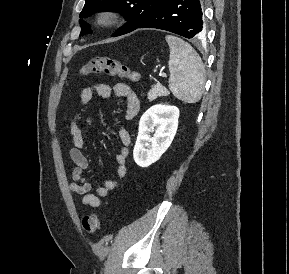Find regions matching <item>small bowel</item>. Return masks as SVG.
Instances as JSON below:
<instances>
[{
    "label": "small bowel",
    "instance_id": "1",
    "mask_svg": "<svg viewBox=\"0 0 289 274\" xmlns=\"http://www.w3.org/2000/svg\"><path fill=\"white\" fill-rule=\"evenodd\" d=\"M95 94L107 100H111L114 95L122 98L125 103L126 120L133 119L139 112L140 100L136 92L126 83H116L113 86L96 83L86 86L80 93V104L83 109L89 105ZM92 121V118H84L80 112L74 115L71 122L70 135L72 146L69 148L68 154L75 167L72 172L73 181L70 184V191L73 194L82 196L81 204L83 206L99 208L102 205V198L107 197L112 191L117 189L119 180L126 176V163L129 156L131 138L126 129L122 128L119 130L118 138L121 146L116 155L115 169L118 179H106L100 186L93 189L92 185L83 176L84 171L89 166V161L83 152L85 138L82 128V123L90 124Z\"/></svg>",
    "mask_w": 289,
    "mask_h": 274
}]
</instances>
